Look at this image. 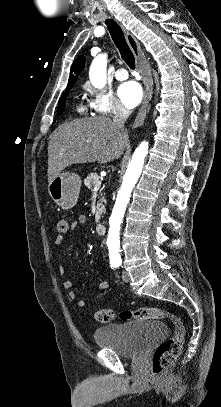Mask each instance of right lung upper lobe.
Masks as SVG:
<instances>
[{"label": "right lung upper lobe", "mask_w": 221, "mask_h": 407, "mask_svg": "<svg viewBox=\"0 0 221 407\" xmlns=\"http://www.w3.org/2000/svg\"><path fill=\"white\" fill-rule=\"evenodd\" d=\"M84 64H85V58L83 55L77 57V59L73 62L72 67H71L72 74L69 77L67 88L73 87V84L77 81L76 74H78L79 72H81L83 70Z\"/></svg>", "instance_id": "cb5924a9"}]
</instances>
